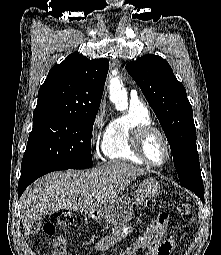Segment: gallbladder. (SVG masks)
I'll use <instances>...</instances> for the list:
<instances>
[{"instance_id": "obj_1", "label": "gallbladder", "mask_w": 221, "mask_h": 255, "mask_svg": "<svg viewBox=\"0 0 221 255\" xmlns=\"http://www.w3.org/2000/svg\"><path fill=\"white\" fill-rule=\"evenodd\" d=\"M42 223H43V219L42 217H40L33 225H32V228H31V233L32 234H35L37 232H39L41 226H42Z\"/></svg>"}]
</instances>
